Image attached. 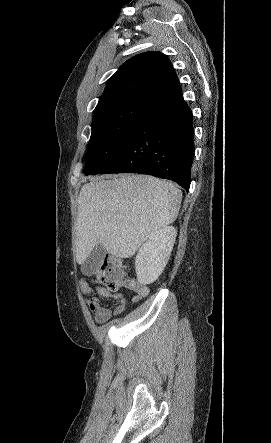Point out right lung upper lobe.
Here are the masks:
<instances>
[{"mask_svg":"<svg viewBox=\"0 0 271 443\" xmlns=\"http://www.w3.org/2000/svg\"><path fill=\"white\" fill-rule=\"evenodd\" d=\"M180 94V83L168 57L150 51L136 55L120 66L107 81L96 107L127 99L154 104Z\"/></svg>","mask_w":271,"mask_h":443,"instance_id":"cb5924a9","label":"right lung upper lobe"}]
</instances>
